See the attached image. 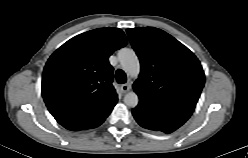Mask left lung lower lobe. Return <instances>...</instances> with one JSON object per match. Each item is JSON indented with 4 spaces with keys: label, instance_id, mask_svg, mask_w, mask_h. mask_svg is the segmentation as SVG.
Wrapping results in <instances>:
<instances>
[{
    "label": "left lung lower lobe",
    "instance_id": "1",
    "mask_svg": "<svg viewBox=\"0 0 248 158\" xmlns=\"http://www.w3.org/2000/svg\"><path fill=\"white\" fill-rule=\"evenodd\" d=\"M132 114H133L134 118L136 119V121L142 127L146 128V129H150V130L161 131L160 127L156 123L145 118L144 116H142L141 114L136 112L134 109L132 110Z\"/></svg>",
    "mask_w": 248,
    "mask_h": 158
}]
</instances>
